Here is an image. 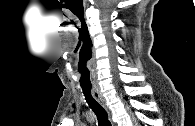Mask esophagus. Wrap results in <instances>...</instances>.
Wrapping results in <instances>:
<instances>
[{
  "label": "esophagus",
  "instance_id": "34e87169",
  "mask_svg": "<svg viewBox=\"0 0 195 126\" xmlns=\"http://www.w3.org/2000/svg\"><path fill=\"white\" fill-rule=\"evenodd\" d=\"M92 95L94 97V99L99 102L106 110H107V106L105 104V101L103 99V96L100 92V89L98 87H93L92 89Z\"/></svg>",
  "mask_w": 195,
  "mask_h": 126
}]
</instances>
